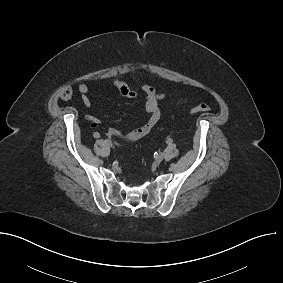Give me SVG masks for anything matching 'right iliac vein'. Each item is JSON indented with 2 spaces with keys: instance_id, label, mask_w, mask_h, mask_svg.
Wrapping results in <instances>:
<instances>
[{
  "instance_id": "1",
  "label": "right iliac vein",
  "mask_w": 283,
  "mask_h": 283,
  "mask_svg": "<svg viewBox=\"0 0 283 283\" xmlns=\"http://www.w3.org/2000/svg\"><path fill=\"white\" fill-rule=\"evenodd\" d=\"M106 144L110 147L112 146V142L109 139L106 140Z\"/></svg>"
}]
</instances>
